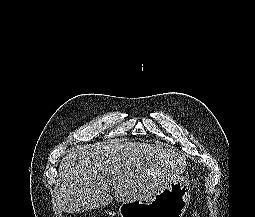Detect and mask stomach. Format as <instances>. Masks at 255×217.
Returning <instances> with one entry per match:
<instances>
[{
  "instance_id": "1",
  "label": "stomach",
  "mask_w": 255,
  "mask_h": 217,
  "mask_svg": "<svg viewBox=\"0 0 255 217\" xmlns=\"http://www.w3.org/2000/svg\"><path fill=\"white\" fill-rule=\"evenodd\" d=\"M190 183L180 176L150 199L124 202L120 217H183L190 201Z\"/></svg>"
}]
</instances>
